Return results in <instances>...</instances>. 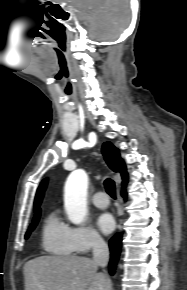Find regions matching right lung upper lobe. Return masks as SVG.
<instances>
[{
  "label": "right lung upper lobe",
  "mask_w": 187,
  "mask_h": 290,
  "mask_svg": "<svg viewBox=\"0 0 187 290\" xmlns=\"http://www.w3.org/2000/svg\"><path fill=\"white\" fill-rule=\"evenodd\" d=\"M102 154L104 156V159L109 166L110 169H112L115 172H120L123 178V186L127 183V172L126 167L123 162V160L120 158V154L117 148H115L110 142H105L102 147ZM47 180H43L40 184L36 197L34 202V208H35V216L34 219L40 215V204L44 195V190L46 188Z\"/></svg>",
  "instance_id": "obj_1"
}]
</instances>
